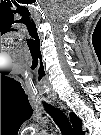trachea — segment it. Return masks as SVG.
I'll list each match as a JSON object with an SVG mask.
<instances>
[{
    "label": "trachea",
    "instance_id": "1",
    "mask_svg": "<svg viewBox=\"0 0 101 135\" xmlns=\"http://www.w3.org/2000/svg\"><path fill=\"white\" fill-rule=\"evenodd\" d=\"M46 112L50 114L54 122L58 125L63 135H74V130L70 124L68 117L53 106L44 104Z\"/></svg>",
    "mask_w": 101,
    "mask_h": 135
}]
</instances>
